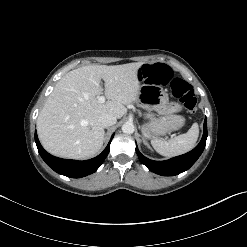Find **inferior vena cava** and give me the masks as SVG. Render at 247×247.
Masks as SVG:
<instances>
[{"instance_id": "1", "label": "inferior vena cava", "mask_w": 247, "mask_h": 247, "mask_svg": "<svg viewBox=\"0 0 247 247\" xmlns=\"http://www.w3.org/2000/svg\"><path fill=\"white\" fill-rule=\"evenodd\" d=\"M116 121V117L108 113H103L98 117V122L103 128H107L116 124Z\"/></svg>"}]
</instances>
